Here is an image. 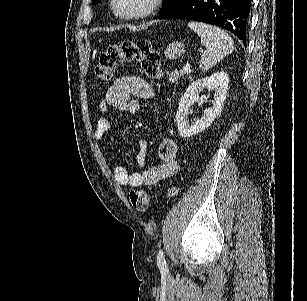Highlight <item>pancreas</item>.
Here are the masks:
<instances>
[{"label": "pancreas", "instance_id": "cf45deb5", "mask_svg": "<svg viewBox=\"0 0 307 301\" xmlns=\"http://www.w3.org/2000/svg\"><path fill=\"white\" fill-rule=\"evenodd\" d=\"M167 80L170 82H175V84H179V80L181 78H192L190 72H186V70H169L166 74Z\"/></svg>", "mask_w": 307, "mask_h": 301}]
</instances>
